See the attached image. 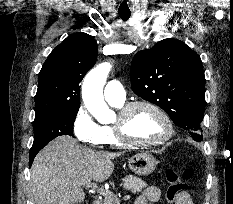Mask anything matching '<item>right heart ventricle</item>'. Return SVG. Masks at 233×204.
<instances>
[{"label": "right heart ventricle", "instance_id": "right-heart-ventricle-1", "mask_svg": "<svg viewBox=\"0 0 233 204\" xmlns=\"http://www.w3.org/2000/svg\"><path fill=\"white\" fill-rule=\"evenodd\" d=\"M114 107L120 108L123 106V103H114L110 102ZM103 144L110 146H121L123 145L116 137L112 125H102L101 126Z\"/></svg>", "mask_w": 233, "mask_h": 204}]
</instances>
